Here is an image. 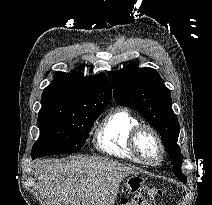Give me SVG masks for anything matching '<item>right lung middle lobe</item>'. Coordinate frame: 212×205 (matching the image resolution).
Returning <instances> with one entry per match:
<instances>
[{"label": "right lung middle lobe", "instance_id": "right-lung-middle-lobe-1", "mask_svg": "<svg viewBox=\"0 0 212 205\" xmlns=\"http://www.w3.org/2000/svg\"><path fill=\"white\" fill-rule=\"evenodd\" d=\"M106 106H77L59 113H39L40 136L33 145L32 158L80 151Z\"/></svg>", "mask_w": 212, "mask_h": 205}]
</instances>
